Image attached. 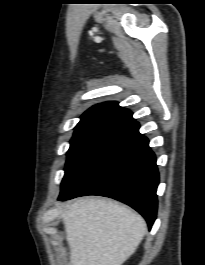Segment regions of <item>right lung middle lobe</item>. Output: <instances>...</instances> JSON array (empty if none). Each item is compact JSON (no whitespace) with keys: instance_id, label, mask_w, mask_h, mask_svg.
Segmentation results:
<instances>
[{"instance_id":"right-lung-middle-lobe-1","label":"right lung middle lobe","mask_w":205,"mask_h":265,"mask_svg":"<svg viewBox=\"0 0 205 265\" xmlns=\"http://www.w3.org/2000/svg\"><path fill=\"white\" fill-rule=\"evenodd\" d=\"M126 128L125 126H95L75 131L67 152L61 192L69 189Z\"/></svg>"}]
</instances>
